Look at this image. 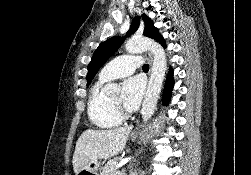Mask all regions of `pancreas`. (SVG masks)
<instances>
[{
    "mask_svg": "<svg viewBox=\"0 0 251 175\" xmlns=\"http://www.w3.org/2000/svg\"><path fill=\"white\" fill-rule=\"evenodd\" d=\"M119 159H123V157H114V159H109V161L105 163L104 167H102L100 175H125L122 171H118L116 167Z\"/></svg>",
    "mask_w": 251,
    "mask_h": 175,
    "instance_id": "obj_1",
    "label": "pancreas"
}]
</instances>
